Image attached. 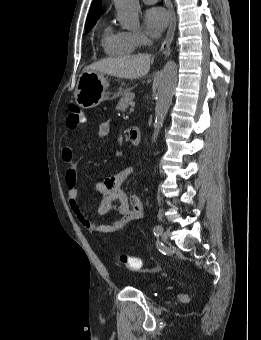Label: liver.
Returning a JSON list of instances; mask_svg holds the SVG:
<instances>
[{
    "label": "liver",
    "instance_id": "liver-1",
    "mask_svg": "<svg viewBox=\"0 0 261 340\" xmlns=\"http://www.w3.org/2000/svg\"><path fill=\"white\" fill-rule=\"evenodd\" d=\"M149 55H133L105 58L87 66L85 71H95L118 78L136 79L144 77L150 70Z\"/></svg>",
    "mask_w": 261,
    "mask_h": 340
}]
</instances>
